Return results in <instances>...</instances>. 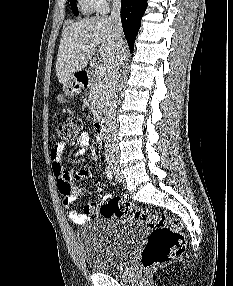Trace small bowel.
<instances>
[{
  "instance_id": "small-bowel-1",
  "label": "small bowel",
  "mask_w": 233,
  "mask_h": 286,
  "mask_svg": "<svg viewBox=\"0 0 233 286\" xmlns=\"http://www.w3.org/2000/svg\"><path fill=\"white\" fill-rule=\"evenodd\" d=\"M77 148L76 154L83 156L87 153L90 146L89 132H83L77 141L73 143ZM66 149L65 143H57L50 152L51 168L57 183V188L63 196V206L67 209L69 219L77 224L83 225L96 216L97 203H89L84 207L83 213H79L70 209L71 205L86 192V189L78 186L66 170L62 158ZM85 175L81 173L76 177V180H81ZM109 196L106 195L105 198Z\"/></svg>"
}]
</instances>
